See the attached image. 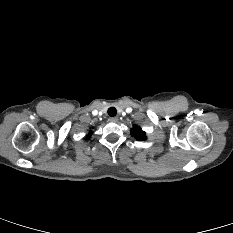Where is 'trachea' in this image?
<instances>
[{
	"label": "trachea",
	"mask_w": 233,
	"mask_h": 233,
	"mask_svg": "<svg viewBox=\"0 0 233 233\" xmlns=\"http://www.w3.org/2000/svg\"><path fill=\"white\" fill-rule=\"evenodd\" d=\"M108 114H109V116H111V117L115 116V115L117 114L116 108L110 107V108L108 109Z\"/></svg>",
	"instance_id": "1"
}]
</instances>
